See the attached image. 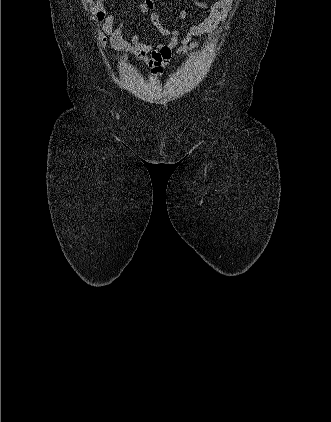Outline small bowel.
<instances>
[{
  "mask_svg": "<svg viewBox=\"0 0 331 422\" xmlns=\"http://www.w3.org/2000/svg\"><path fill=\"white\" fill-rule=\"evenodd\" d=\"M199 8L209 11L208 16L198 24L188 25L186 34L180 35L178 29L170 28L161 22L156 10L154 0H143L139 5L141 12L149 15L151 23L157 32L163 37L162 40L146 44L142 42V35L134 34L130 41L123 39V22L114 25L115 17L112 13H106L103 6L104 0H96L95 14L97 21L102 27L103 33L98 36L101 46H109L119 53L120 58L126 55H134L142 60L149 68L153 76H161L169 64L175 48L176 55L184 56L197 48L200 43L192 42L195 36L210 34L217 30L228 17L233 0H217L212 4H207L201 0H191ZM114 6V2L109 3V8ZM188 12L183 10L180 19L186 22Z\"/></svg>",
  "mask_w": 331,
  "mask_h": 422,
  "instance_id": "1",
  "label": "small bowel"
}]
</instances>
